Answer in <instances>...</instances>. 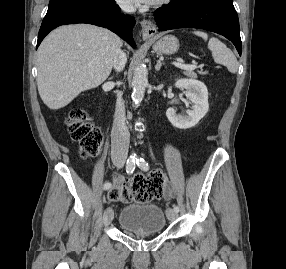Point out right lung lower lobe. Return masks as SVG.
<instances>
[{"mask_svg": "<svg viewBox=\"0 0 286 269\" xmlns=\"http://www.w3.org/2000/svg\"><path fill=\"white\" fill-rule=\"evenodd\" d=\"M75 23H88L108 28L132 47H136L132 37L134 18L120 14V8L116 4L110 9H104L90 2H75L47 11L39 30L37 47L54 28Z\"/></svg>", "mask_w": 286, "mask_h": 269, "instance_id": "obj_1", "label": "right lung lower lobe"}]
</instances>
